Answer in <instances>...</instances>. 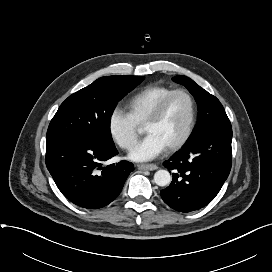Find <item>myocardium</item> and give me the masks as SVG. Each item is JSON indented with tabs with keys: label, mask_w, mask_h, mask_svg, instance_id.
I'll return each instance as SVG.
<instances>
[{
	"label": "myocardium",
	"mask_w": 272,
	"mask_h": 272,
	"mask_svg": "<svg viewBox=\"0 0 272 272\" xmlns=\"http://www.w3.org/2000/svg\"><path fill=\"white\" fill-rule=\"evenodd\" d=\"M176 95H184L188 99L189 105H190V116H189L187 128H186L184 134L182 135V137L177 142H175L174 144H172L166 148L167 151H169V152L177 151L178 149L183 147L187 143V141L190 139V137L194 131L195 124H196V117H197V107H196L195 99L191 95V93L185 89L173 90L172 92L167 94L157 104V106L155 107V109L153 110V112L151 113V115L149 116L147 121L145 122V127L158 122L162 118L168 104Z\"/></svg>",
	"instance_id": "obj_1"
}]
</instances>
